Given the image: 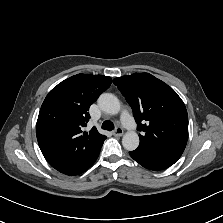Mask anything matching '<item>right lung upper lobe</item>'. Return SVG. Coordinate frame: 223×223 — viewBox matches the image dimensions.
<instances>
[{"instance_id":"1","label":"right lung upper lobe","mask_w":223,"mask_h":223,"mask_svg":"<svg viewBox=\"0 0 223 223\" xmlns=\"http://www.w3.org/2000/svg\"><path fill=\"white\" fill-rule=\"evenodd\" d=\"M111 85L103 75L77 74L46 96L37 120L39 147L48 163L61 173L77 175L97 158L105 136L95 127L83 132L89 121V107Z\"/></svg>"}]
</instances>
